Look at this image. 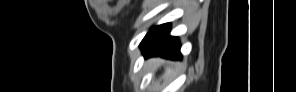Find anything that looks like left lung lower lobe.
<instances>
[{
  "mask_svg": "<svg viewBox=\"0 0 296 92\" xmlns=\"http://www.w3.org/2000/svg\"><path fill=\"white\" fill-rule=\"evenodd\" d=\"M169 32V23L151 29L140 44L144 56H161L170 59H181L182 55L180 53L179 39L170 36Z\"/></svg>",
  "mask_w": 296,
  "mask_h": 92,
  "instance_id": "0a47b994",
  "label": "left lung lower lobe"
}]
</instances>
